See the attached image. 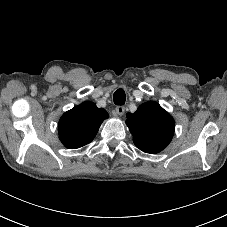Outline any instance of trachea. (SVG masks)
<instances>
[{
    "label": "trachea",
    "instance_id": "obj_1",
    "mask_svg": "<svg viewBox=\"0 0 227 227\" xmlns=\"http://www.w3.org/2000/svg\"><path fill=\"white\" fill-rule=\"evenodd\" d=\"M114 103L116 105H124L126 96L123 89H118L113 95Z\"/></svg>",
    "mask_w": 227,
    "mask_h": 227
}]
</instances>
